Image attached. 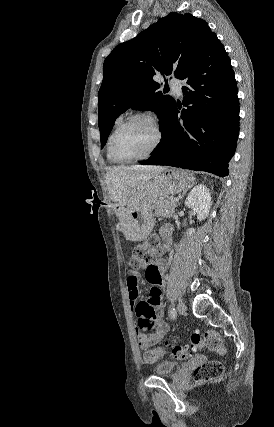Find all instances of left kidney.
Listing matches in <instances>:
<instances>
[{"instance_id": "obj_1", "label": "left kidney", "mask_w": 274, "mask_h": 427, "mask_svg": "<svg viewBox=\"0 0 274 427\" xmlns=\"http://www.w3.org/2000/svg\"><path fill=\"white\" fill-rule=\"evenodd\" d=\"M185 206L187 208H191V210H194L197 214V219L199 221H202V219H205L207 215L210 212V208L212 206L211 202V194L204 186V184H199V186H195L193 190H191L190 194H188L185 202ZM195 229L193 227H190L187 231V235H192L194 233Z\"/></svg>"}]
</instances>
